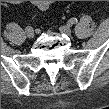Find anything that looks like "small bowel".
<instances>
[{
  "label": "small bowel",
  "mask_w": 109,
  "mask_h": 109,
  "mask_svg": "<svg viewBox=\"0 0 109 109\" xmlns=\"http://www.w3.org/2000/svg\"><path fill=\"white\" fill-rule=\"evenodd\" d=\"M34 5L40 10H46L50 7V1H35Z\"/></svg>",
  "instance_id": "c3829d8e"
}]
</instances>
